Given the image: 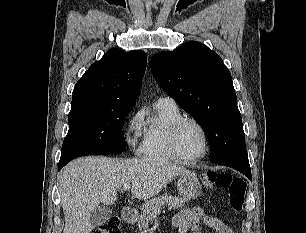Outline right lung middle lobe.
<instances>
[{
	"label": "right lung middle lobe",
	"instance_id": "obj_1",
	"mask_svg": "<svg viewBox=\"0 0 306 233\" xmlns=\"http://www.w3.org/2000/svg\"><path fill=\"white\" fill-rule=\"evenodd\" d=\"M131 110L132 107L72 106L59 162L68 163L79 156L125 151L122 127Z\"/></svg>",
	"mask_w": 306,
	"mask_h": 233
}]
</instances>
